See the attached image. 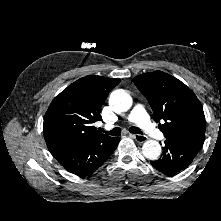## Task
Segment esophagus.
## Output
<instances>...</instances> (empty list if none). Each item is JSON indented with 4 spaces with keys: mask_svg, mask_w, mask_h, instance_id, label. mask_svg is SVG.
Listing matches in <instances>:
<instances>
[{
    "mask_svg": "<svg viewBox=\"0 0 221 221\" xmlns=\"http://www.w3.org/2000/svg\"><path fill=\"white\" fill-rule=\"evenodd\" d=\"M131 137L137 141L138 143H143L147 141V137L144 135H139V134H131Z\"/></svg>",
    "mask_w": 221,
    "mask_h": 221,
    "instance_id": "1",
    "label": "esophagus"
}]
</instances>
